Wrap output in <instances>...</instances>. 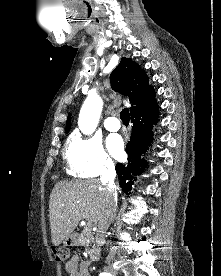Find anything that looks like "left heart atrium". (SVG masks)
Returning a JSON list of instances; mask_svg holds the SVG:
<instances>
[{"label": "left heart atrium", "instance_id": "obj_1", "mask_svg": "<svg viewBox=\"0 0 221 276\" xmlns=\"http://www.w3.org/2000/svg\"><path fill=\"white\" fill-rule=\"evenodd\" d=\"M108 149L111 154L120 158L123 155V141L120 136L112 135L107 140Z\"/></svg>", "mask_w": 221, "mask_h": 276}]
</instances>
